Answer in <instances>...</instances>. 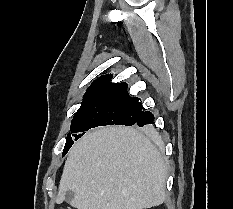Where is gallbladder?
Wrapping results in <instances>:
<instances>
[{
	"instance_id": "bac80fb5",
	"label": "gallbladder",
	"mask_w": 233,
	"mask_h": 209,
	"mask_svg": "<svg viewBox=\"0 0 233 209\" xmlns=\"http://www.w3.org/2000/svg\"><path fill=\"white\" fill-rule=\"evenodd\" d=\"M73 198H74V192L71 190L67 191L65 198L66 202L70 203L73 200Z\"/></svg>"
}]
</instances>
